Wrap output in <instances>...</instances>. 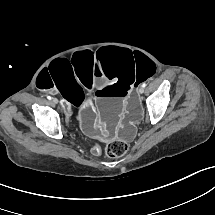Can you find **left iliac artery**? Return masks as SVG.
I'll list each match as a JSON object with an SVG mask.
<instances>
[{
	"mask_svg": "<svg viewBox=\"0 0 215 215\" xmlns=\"http://www.w3.org/2000/svg\"><path fill=\"white\" fill-rule=\"evenodd\" d=\"M142 86L145 88L146 87V83L144 82V83H142Z\"/></svg>",
	"mask_w": 215,
	"mask_h": 215,
	"instance_id": "44dca946",
	"label": "left iliac artery"
}]
</instances>
